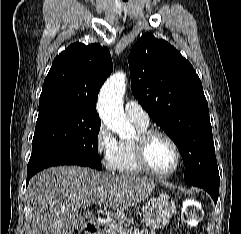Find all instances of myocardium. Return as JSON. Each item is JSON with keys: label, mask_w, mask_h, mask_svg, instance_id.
<instances>
[{"label": "myocardium", "mask_w": 241, "mask_h": 234, "mask_svg": "<svg viewBox=\"0 0 241 234\" xmlns=\"http://www.w3.org/2000/svg\"><path fill=\"white\" fill-rule=\"evenodd\" d=\"M156 137H163L165 138L174 148L176 153V163L174 167L167 172H160L155 170L148 159V148L151 143V141ZM135 146H136V158L141 166V168L148 174L160 177V178H166L174 173L177 172L181 165L182 161V153L179 144L177 141L167 132L158 130V129H146L142 132H140L137 137L135 138Z\"/></svg>", "instance_id": "1"}]
</instances>
